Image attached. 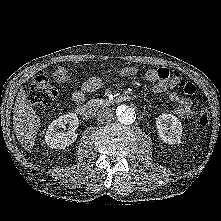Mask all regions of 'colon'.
<instances>
[{
    "label": "colon",
    "mask_w": 221,
    "mask_h": 221,
    "mask_svg": "<svg viewBox=\"0 0 221 221\" xmlns=\"http://www.w3.org/2000/svg\"><path fill=\"white\" fill-rule=\"evenodd\" d=\"M53 78L58 82H64L68 78L67 69L64 64H59L53 71ZM183 91L187 95H193L196 87L191 82H183L181 84ZM57 90L50 84L48 78L44 75H37L30 81L29 101L33 105L43 108L50 105L57 97ZM210 122V113L207 108H201L197 113V123L201 127H205Z\"/></svg>",
    "instance_id": "colon-1"
}]
</instances>
